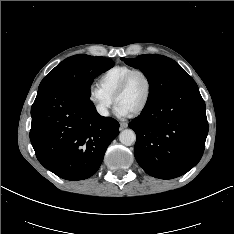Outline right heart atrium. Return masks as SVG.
<instances>
[{
    "instance_id": "d8ad5b80",
    "label": "right heart atrium",
    "mask_w": 234,
    "mask_h": 234,
    "mask_svg": "<svg viewBox=\"0 0 234 234\" xmlns=\"http://www.w3.org/2000/svg\"><path fill=\"white\" fill-rule=\"evenodd\" d=\"M87 98L93 105L95 111L102 117L110 115L112 98L109 97L99 85L91 84L87 90Z\"/></svg>"
}]
</instances>
